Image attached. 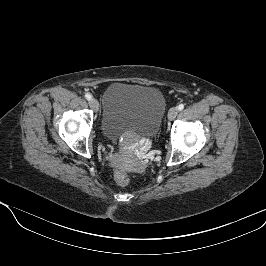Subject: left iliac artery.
I'll return each mask as SVG.
<instances>
[{
	"mask_svg": "<svg viewBox=\"0 0 266 266\" xmlns=\"http://www.w3.org/2000/svg\"><path fill=\"white\" fill-rule=\"evenodd\" d=\"M177 108H178L179 111L183 110L184 109V104H180Z\"/></svg>",
	"mask_w": 266,
	"mask_h": 266,
	"instance_id": "44dca946",
	"label": "left iliac artery"
}]
</instances>
